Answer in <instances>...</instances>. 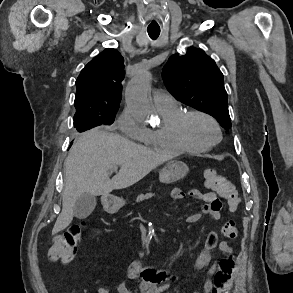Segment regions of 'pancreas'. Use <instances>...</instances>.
I'll list each match as a JSON object with an SVG mask.
<instances>
[{"mask_svg": "<svg viewBox=\"0 0 293 293\" xmlns=\"http://www.w3.org/2000/svg\"><path fill=\"white\" fill-rule=\"evenodd\" d=\"M155 194L151 193V192H147L146 194H140L138 197H137V200L136 202H141V201H144V200H148L150 198H152Z\"/></svg>", "mask_w": 293, "mask_h": 293, "instance_id": "obj_1", "label": "pancreas"}]
</instances>
